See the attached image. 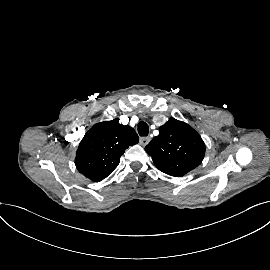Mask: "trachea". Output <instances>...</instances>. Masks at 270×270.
Here are the masks:
<instances>
[{"mask_svg":"<svg viewBox=\"0 0 270 270\" xmlns=\"http://www.w3.org/2000/svg\"><path fill=\"white\" fill-rule=\"evenodd\" d=\"M138 133L140 136H147L149 133V127L147 123L141 121L138 124Z\"/></svg>","mask_w":270,"mask_h":270,"instance_id":"obj_1","label":"trachea"}]
</instances>
